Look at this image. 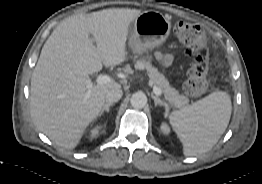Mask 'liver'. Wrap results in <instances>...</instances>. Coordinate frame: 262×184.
<instances>
[{"label": "liver", "instance_id": "obj_1", "mask_svg": "<svg viewBox=\"0 0 262 184\" xmlns=\"http://www.w3.org/2000/svg\"><path fill=\"white\" fill-rule=\"evenodd\" d=\"M136 9H105L62 21L45 42L31 78L30 108L37 128L53 143L74 149L99 116L113 80L87 86L88 75L126 61L128 27ZM93 35L96 45L90 38Z\"/></svg>", "mask_w": 262, "mask_h": 184}]
</instances>
